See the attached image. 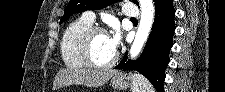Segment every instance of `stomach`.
Here are the masks:
<instances>
[{"label":"stomach","instance_id":"obj_1","mask_svg":"<svg viewBox=\"0 0 225 92\" xmlns=\"http://www.w3.org/2000/svg\"><path fill=\"white\" fill-rule=\"evenodd\" d=\"M133 83V76L122 72H116L111 77V85L115 90L123 91L128 89Z\"/></svg>","mask_w":225,"mask_h":92}]
</instances>
